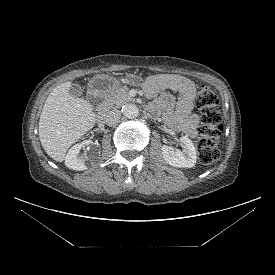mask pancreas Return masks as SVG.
<instances>
[{
	"mask_svg": "<svg viewBox=\"0 0 275 275\" xmlns=\"http://www.w3.org/2000/svg\"><path fill=\"white\" fill-rule=\"evenodd\" d=\"M130 101H134V98L130 97L128 94V90L123 87L118 88L115 92L108 95L105 99V103L108 107H113L114 105L119 107Z\"/></svg>",
	"mask_w": 275,
	"mask_h": 275,
	"instance_id": "1",
	"label": "pancreas"
}]
</instances>
